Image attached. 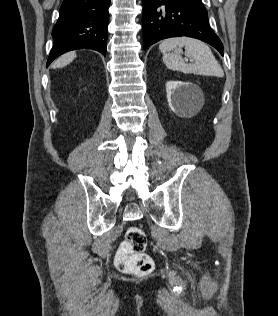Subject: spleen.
<instances>
[{
    "instance_id": "spleen-1",
    "label": "spleen",
    "mask_w": 278,
    "mask_h": 316,
    "mask_svg": "<svg viewBox=\"0 0 278 316\" xmlns=\"http://www.w3.org/2000/svg\"><path fill=\"white\" fill-rule=\"evenodd\" d=\"M182 47H185V55L193 59L194 63L184 62L181 56ZM159 49L168 69L198 75L224 76L223 69L211 49L202 41L190 37H174L162 41ZM172 50L173 52L169 53Z\"/></svg>"
}]
</instances>
